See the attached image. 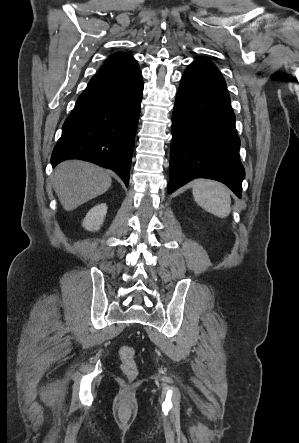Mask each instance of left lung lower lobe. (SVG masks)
<instances>
[{"label":"left lung lower lobe","mask_w":299,"mask_h":443,"mask_svg":"<svg viewBox=\"0 0 299 443\" xmlns=\"http://www.w3.org/2000/svg\"><path fill=\"white\" fill-rule=\"evenodd\" d=\"M172 136L169 194L195 178H208L241 197L240 139L218 70L194 62L187 67L172 114Z\"/></svg>","instance_id":"0a47b994"}]
</instances>
